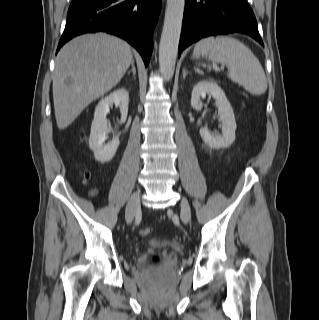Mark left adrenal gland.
Returning <instances> with one entry per match:
<instances>
[{"label": "left adrenal gland", "instance_id": "left-adrenal-gland-1", "mask_svg": "<svg viewBox=\"0 0 319 320\" xmlns=\"http://www.w3.org/2000/svg\"><path fill=\"white\" fill-rule=\"evenodd\" d=\"M187 73H188V71H186V69H183V79H185Z\"/></svg>", "mask_w": 319, "mask_h": 320}]
</instances>
